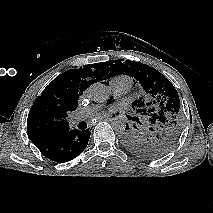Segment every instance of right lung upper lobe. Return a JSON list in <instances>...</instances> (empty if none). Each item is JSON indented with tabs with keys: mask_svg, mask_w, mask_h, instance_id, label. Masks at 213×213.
Listing matches in <instances>:
<instances>
[{
	"mask_svg": "<svg viewBox=\"0 0 213 213\" xmlns=\"http://www.w3.org/2000/svg\"><path fill=\"white\" fill-rule=\"evenodd\" d=\"M103 77L96 64L71 69L56 77L36 98L29 111L27 133L30 140L67 132V113L76 110L82 92ZM48 114H55L53 128L44 130L42 121Z\"/></svg>",
	"mask_w": 213,
	"mask_h": 213,
	"instance_id": "1",
	"label": "right lung upper lobe"
}]
</instances>
